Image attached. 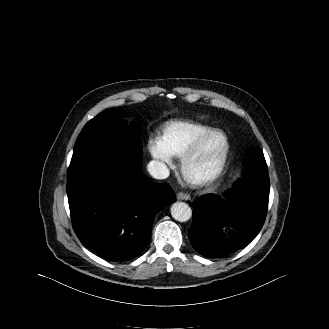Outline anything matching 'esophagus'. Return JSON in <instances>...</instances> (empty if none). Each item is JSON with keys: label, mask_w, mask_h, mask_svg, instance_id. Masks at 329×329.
Masks as SVG:
<instances>
[{"label": "esophagus", "mask_w": 329, "mask_h": 329, "mask_svg": "<svg viewBox=\"0 0 329 329\" xmlns=\"http://www.w3.org/2000/svg\"><path fill=\"white\" fill-rule=\"evenodd\" d=\"M177 199L178 200H185V201H187V200H190L191 197H190L189 194L180 192V193L177 194Z\"/></svg>", "instance_id": "obj_1"}]
</instances>
